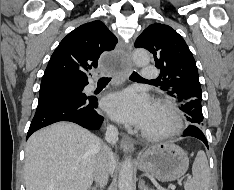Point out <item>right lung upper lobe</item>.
I'll use <instances>...</instances> for the list:
<instances>
[{"label": "right lung upper lobe", "instance_id": "cb5924a9", "mask_svg": "<svg viewBox=\"0 0 234 190\" xmlns=\"http://www.w3.org/2000/svg\"><path fill=\"white\" fill-rule=\"evenodd\" d=\"M117 44L115 35L99 20L70 32L53 52L42 81L87 77L98 59Z\"/></svg>", "mask_w": 234, "mask_h": 190}]
</instances>
